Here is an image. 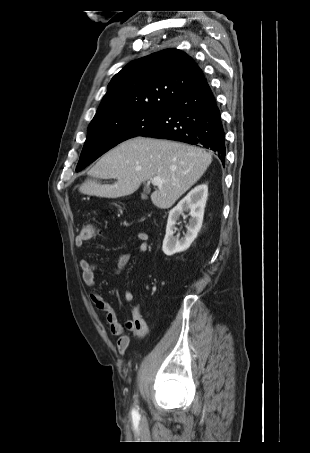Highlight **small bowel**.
Returning <instances> with one entry per match:
<instances>
[{
    "label": "small bowel",
    "mask_w": 310,
    "mask_h": 453,
    "mask_svg": "<svg viewBox=\"0 0 310 453\" xmlns=\"http://www.w3.org/2000/svg\"><path fill=\"white\" fill-rule=\"evenodd\" d=\"M137 239L140 241L138 250L141 253L147 252L148 245V234L145 231H138L136 234ZM89 238H84L82 234H79L75 238V245L77 247H83ZM129 260L128 254L120 255L115 273L119 274L124 267L127 265ZM81 277L83 283L90 289V298L94 306L105 314V319L109 327V331L112 335L118 337L117 349L120 354H124L129 346L130 337L128 332H133L137 337L144 336L148 331V325L146 320L141 314L140 308L135 306L132 309V318L127 320L123 325L120 324L118 318L111 307V305L95 291V272L96 266L88 259H81L79 262ZM124 299L130 303L134 299V295L130 290L124 291Z\"/></svg>",
    "instance_id": "c3829d8e"
}]
</instances>
